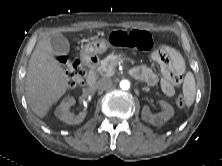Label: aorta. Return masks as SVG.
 <instances>
[{
    "mask_svg": "<svg viewBox=\"0 0 222 166\" xmlns=\"http://www.w3.org/2000/svg\"><path fill=\"white\" fill-rule=\"evenodd\" d=\"M120 88L123 90H128L130 88V82L128 80H122L120 82Z\"/></svg>",
    "mask_w": 222,
    "mask_h": 166,
    "instance_id": "obj_1",
    "label": "aorta"
}]
</instances>
